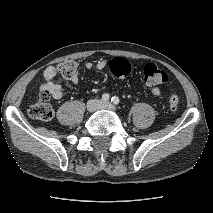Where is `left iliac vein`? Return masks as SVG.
<instances>
[{"label": "left iliac vein", "mask_w": 213, "mask_h": 213, "mask_svg": "<svg viewBox=\"0 0 213 213\" xmlns=\"http://www.w3.org/2000/svg\"><path fill=\"white\" fill-rule=\"evenodd\" d=\"M100 108H102V109H109V110H115V107L112 105V104H110L109 102H104V103H102V105L100 106Z\"/></svg>", "instance_id": "1"}]
</instances>
